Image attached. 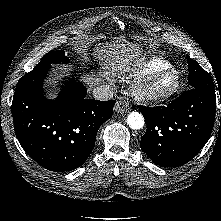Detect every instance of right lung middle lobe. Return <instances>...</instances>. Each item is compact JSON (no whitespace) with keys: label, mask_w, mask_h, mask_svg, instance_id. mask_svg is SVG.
<instances>
[{"label":"right lung middle lobe","mask_w":221,"mask_h":221,"mask_svg":"<svg viewBox=\"0 0 221 221\" xmlns=\"http://www.w3.org/2000/svg\"><path fill=\"white\" fill-rule=\"evenodd\" d=\"M68 63L69 59L65 56V52L63 50L50 51L48 54L44 55L41 61L34 67L33 70L38 68L50 66L52 63Z\"/></svg>","instance_id":"right-lung-middle-lobe-1"}]
</instances>
